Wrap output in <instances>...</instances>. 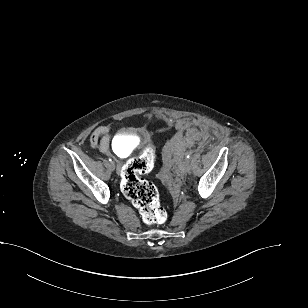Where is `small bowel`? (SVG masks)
<instances>
[{
  "label": "small bowel",
  "instance_id": "small-bowel-1",
  "mask_svg": "<svg viewBox=\"0 0 308 308\" xmlns=\"http://www.w3.org/2000/svg\"><path fill=\"white\" fill-rule=\"evenodd\" d=\"M195 124L190 119H181L177 122L180 129H189ZM111 139V130L108 126H100L92 133L90 137V145L92 148H99L104 154H109V143Z\"/></svg>",
  "mask_w": 308,
  "mask_h": 308
}]
</instances>
